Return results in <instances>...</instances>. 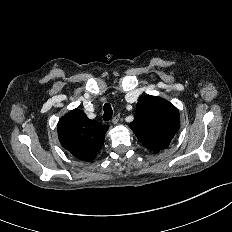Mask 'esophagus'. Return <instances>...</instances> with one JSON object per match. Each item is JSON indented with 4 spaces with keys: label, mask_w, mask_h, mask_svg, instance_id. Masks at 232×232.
Returning a JSON list of instances; mask_svg holds the SVG:
<instances>
[{
    "label": "esophagus",
    "mask_w": 232,
    "mask_h": 232,
    "mask_svg": "<svg viewBox=\"0 0 232 232\" xmlns=\"http://www.w3.org/2000/svg\"><path fill=\"white\" fill-rule=\"evenodd\" d=\"M119 120H120V115L116 114L112 119V123L117 124L119 122Z\"/></svg>",
    "instance_id": "esophagus-1"
}]
</instances>
